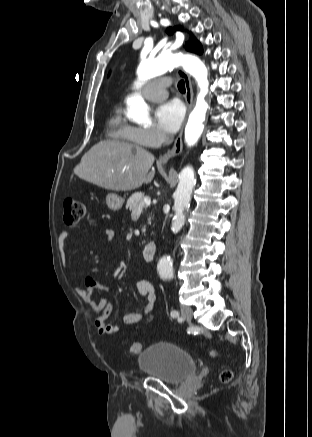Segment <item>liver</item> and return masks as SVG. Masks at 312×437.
Wrapping results in <instances>:
<instances>
[{"instance_id":"6515ba94","label":"liver","mask_w":312,"mask_h":437,"mask_svg":"<svg viewBox=\"0 0 312 437\" xmlns=\"http://www.w3.org/2000/svg\"><path fill=\"white\" fill-rule=\"evenodd\" d=\"M153 163V154L138 145L105 140L82 157L74 173L102 188L128 191L153 180Z\"/></svg>"}]
</instances>
